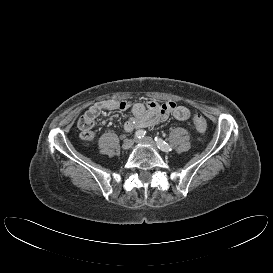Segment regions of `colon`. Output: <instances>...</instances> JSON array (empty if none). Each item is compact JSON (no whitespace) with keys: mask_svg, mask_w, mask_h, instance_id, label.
I'll return each instance as SVG.
<instances>
[{"mask_svg":"<svg viewBox=\"0 0 273 273\" xmlns=\"http://www.w3.org/2000/svg\"><path fill=\"white\" fill-rule=\"evenodd\" d=\"M193 123L199 132H205L207 130L208 124L206 119L202 115H194Z\"/></svg>","mask_w":273,"mask_h":273,"instance_id":"5ec220e1","label":"colon"}]
</instances>
